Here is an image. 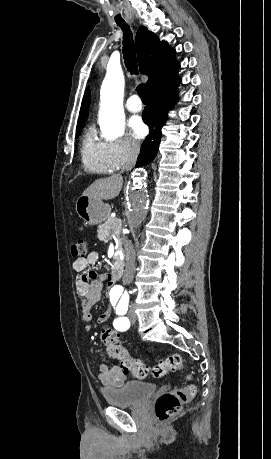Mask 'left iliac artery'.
I'll return each instance as SVG.
<instances>
[{
  "instance_id": "1",
  "label": "left iliac artery",
  "mask_w": 271,
  "mask_h": 459,
  "mask_svg": "<svg viewBox=\"0 0 271 459\" xmlns=\"http://www.w3.org/2000/svg\"><path fill=\"white\" fill-rule=\"evenodd\" d=\"M127 309H128V302L122 305L118 304V306L114 310V313L116 316H125ZM113 326L118 331H126L130 327V322L127 317H121V318L114 320Z\"/></svg>"
}]
</instances>
